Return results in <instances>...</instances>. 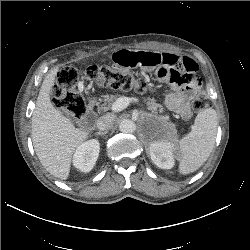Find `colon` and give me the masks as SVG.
Returning a JSON list of instances; mask_svg holds the SVG:
<instances>
[{
  "instance_id": "colon-1",
  "label": "colon",
  "mask_w": 250,
  "mask_h": 250,
  "mask_svg": "<svg viewBox=\"0 0 250 250\" xmlns=\"http://www.w3.org/2000/svg\"><path fill=\"white\" fill-rule=\"evenodd\" d=\"M79 75L93 80L99 86L112 89L135 90L139 93L147 92L150 89L149 84L144 79H137L108 66L94 65L83 72H78L70 67L62 68L52 87L53 101L58 109L77 118L82 117L86 112L85 102L75 89ZM209 105L208 94L205 91H199L192 103L194 111H201Z\"/></svg>"
}]
</instances>
